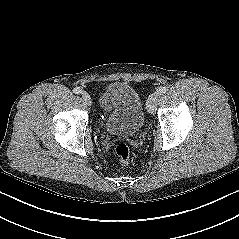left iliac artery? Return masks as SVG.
I'll list each match as a JSON object with an SVG mask.
<instances>
[{
  "label": "left iliac artery",
  "instance_id": "left-iliac-artery-1",
  "mask_svg": "<svg viewBox=\"0 0 239 239\" xmlns=\"http://www.w3.org/2000/svg\"><path fill=\"white\" fill-rule=\"evenodd\" d=\"M167 87L166 86H163V87H160L159 88V90H158V92L160 93V94H164V93H166L167 92Z\"/></svg>",
  "mask_w": 239,
  "mask_h": 239
}]
</instances>
